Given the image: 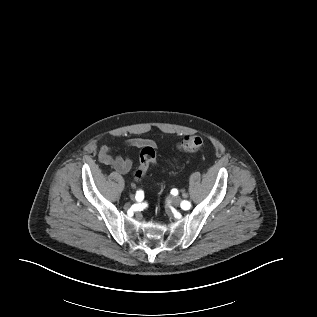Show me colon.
Masks as SVG:
<instances>
[{"label": "colon", "instance_id": "5ec220e1", "mask_svg": "<svg viewBox=\"0 0 317 317\" xmlns=\"http://www.w3.org/2000/svg\"><path fill=\"white\" fill-rule=\"evenodd\" d=\"M202 145V140L199 136L188 135L183 138V140L178 144V148L181 151L187 153L196 152ZM156 162V152L152 146H145L139 156V166L135 172V179L142 180L149 166Z\"/></svg>", "mask_w": 317, "mask_h": 317}]
</instances>
